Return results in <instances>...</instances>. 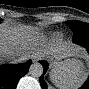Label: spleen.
<instances>
[{
    "instance_id": "1",
    "label": "spleen",
    "mask_w": 89,
    "mask_h": 89,
    "mask_svg": "<svg viewBox=\"0 0 89 89\" xmlns=\"http://www.w3.org/2000/svg\"><path fill=\"white\" fill-rule=\"evenodd\" d=\"M87 78V69L78 60L64 61L50 71V80L59 89H74L80 87Z\"/></svg>"
}]
</instances>
